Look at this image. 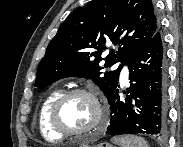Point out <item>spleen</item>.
<instances>
[{
	"label": "spleen",
	"mask_w": 183,
	"mask_h": 147,
	"mask_svg": "<svg viewBox=\"0 0 183 147\" xmlns=\"http://www.w3.org/2000/svg\"><path fill=\"white\" fill-rule=\"evenodd\" d=\"M111 141L119 147H148L144 138L134 135L113 137Z\"/></svg>",
	"instance_id": "spleen-1"
}]
</instances>
